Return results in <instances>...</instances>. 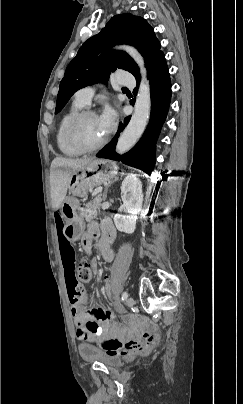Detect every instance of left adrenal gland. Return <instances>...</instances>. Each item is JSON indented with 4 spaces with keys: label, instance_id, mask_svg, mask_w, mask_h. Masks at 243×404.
Returning <instances> with one entry per match:
<instances>
[{
    "label": "left adrenal gland",
    "instance_id": "1",
    "mask_svg": "<svg viewBox=\"0 0 243 404\" xmlns=\"http://www.w3.org/2000/svg\"><path fill=\"white\" fill-rule=\"evenodd\" d=\"M117 180H119L118 176H115V178H113V180H111V182H109V186H105V190H104V194H103V202H105L106 198H107V194H108V188H110L111 184H114V182H117Z\"/></svg>",
    "mask_w": 243,
    "mask_h": 404
}]
</instances>
